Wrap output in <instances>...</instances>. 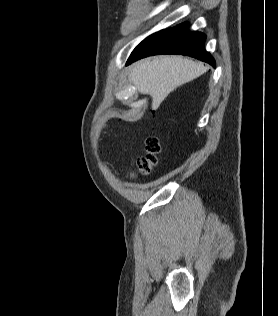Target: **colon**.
<instances>
[{
	"label": "colon",
	"mask_w": 278,
	"mask_h": 316,
	"mask_svg": "<svg viewBox=\"0 0 278 316\" xmlns=\"http://www.w3.org/2000/svg\"><path fill=\"white\" fill-rule=\"evenodd\" d=\"M161 144L156 137H148L146 140V154L137 160V174L149 175L158 165L161 153ZM136 173L132 174L135 177Z\"/></svg>",
	"instance_id": "1"
}]
</instances>
